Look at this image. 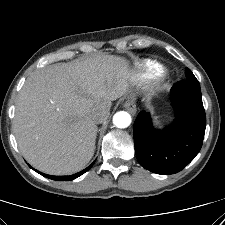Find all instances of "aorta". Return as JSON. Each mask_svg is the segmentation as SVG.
Instances as JSON below:
<instances>
[{
	"instance_id": "obj_1",
	"label": "aorta",
	"mask_w": 225,
	"mask_h": 225,
	"mask_svg": "<svg viewBox=\"0 0 225 225\" xmlns=\"http://www.w3.org/2000/svg\"><path fill=\"white\" fill-rule=\"evenodd\" d=\"M131 116L126 111H119L113 116V124L117 128H126L131 124Z\"/></svg>"
}]
</instances>
